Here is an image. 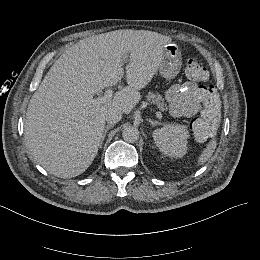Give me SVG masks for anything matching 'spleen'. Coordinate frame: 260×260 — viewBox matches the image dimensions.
<instances>
[{"label":"spleen","mask_w":260,"mask_h":260,"mask_svg":"<svg viewBox=\"0 0 260 260\" xmlns=\"http://www.w3.org/2000/svg\"><path fill=\"white\" fill-rule=\"evenodd\" d=\"M218 144V138L213 137L210 141L205 145V148L200 153L199 157H197L196 165L203 166L210 159V157L214 154Z\"/></svg>","instance_id":"spleen-1"}]
</instances>
